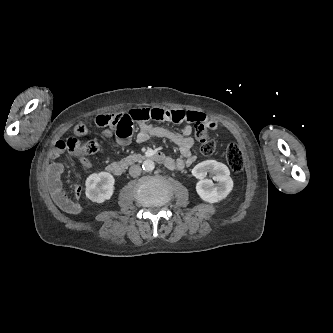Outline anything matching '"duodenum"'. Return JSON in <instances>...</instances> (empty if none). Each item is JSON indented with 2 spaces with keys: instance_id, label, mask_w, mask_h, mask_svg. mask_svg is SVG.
<instances>
[{
  "instance_id": "1",
  "label": "duodenum",
  "mask_w": 333,
  "mask_h": 333,
  "mask_svg": "<svg viewBox=\"0 0 333 333\" xmlns=\"http://www.w3.org/2000/svg\"><path fill=\"white\" fill-rule=\"evenodd\" d=\"M147 159H152L162 164H166L167 162V157L160 152L144 154V155L137 154V155L128 156L126 159L122 161H114L109 163L107 165V171L112 173L113 175L120 176L126 171V169L130 165Z\"/></svg>"
}]
</instances>
